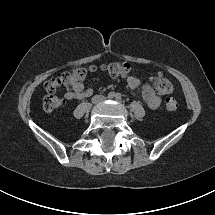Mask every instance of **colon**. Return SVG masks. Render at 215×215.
<instances>
[{
  "label": "colon",
  "instance_id": "1",
  "mask_svg": "<svg viewBox=\"0 0 215 215\" xmlns=\"http://www.w3.org/2000/svg\"><path fill=\"white\" fill-rule=\"evenodd\" d=\"M99 69L111 77H125L133 70L132 66L125 62L109 63L101 66ZM88 70L90 72H95L98 68L96 66H91L89 69L79 67L47 80L44 84V88L47 92L43 99L44 110L51 112L58 109L62 105V100L56 96L55 93L61 87L73 88L75 83L85 79ZM153 86L155 90L161 94H169L173 90V85L170 80L161 76L154 78ZM165 106L169 111H176L179 104L176 99L169 97L165 101Z\"/></svg>",
  "mask_w": 215,
  "mask_h": 215
}]
</instances>
